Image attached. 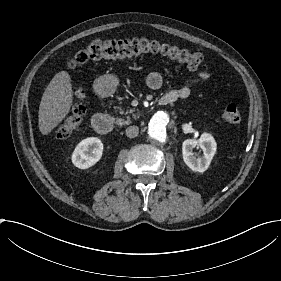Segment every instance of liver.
<instances>
[{"mask_svg": "<svg viewBox=\"0 0 281 281\" xmlns=\"http://www.w3.org/2000/svg\"><path fill=\"white\" fill-rule=\"evenodd\" d=\"M73 102L72 77L68 71H60L44 91L39 107L38 124L43 136L50 134L68 116Z\"/></svg>", "mask_w": 281, "mask_h": 281, "instance_id": "1", "label": "liver"}]
</instances>
